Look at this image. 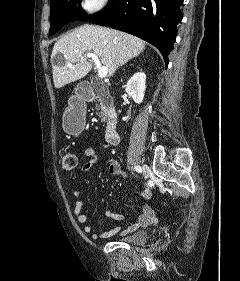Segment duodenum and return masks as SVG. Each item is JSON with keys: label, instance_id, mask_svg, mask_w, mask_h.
<instances>
[{"label": "duodenum", "instance_id": "1", "mask_svg": "<svg viewBox=\"0 0 240 281\" xmlns=\"http://www.w3.org/2000/svg\"><path fill=\"white\" fill-rule=\"evenodd\" d=\"M79 94L85 100H90L94 96L93 89L90 86L82 87L79 91ZM105 139L106 142L111 145H115L119 143L120 137L117 130V120L115 116H111L107 123L106 131H105Z\"/></svg>", "mask_w": 240, "mask_h": 281}]
</instances>
